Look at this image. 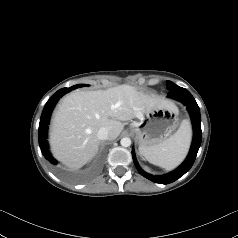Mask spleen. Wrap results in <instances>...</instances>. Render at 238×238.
<instances>
[{"instance_id": "3e777b00", "label": "spleen", "mask_w": 238, "mask_h": 238, "mask_svg": "<svg viewBox=\"0 0 238 238\" xmlns=\"http://www.w3.org/2000/svg\"><path fill=\"white\" fill-rule=\"evenodd\" d=\"M191 125L183 120L179 129L162 143L141 150V154L152 164L171 170L186 157L191 142Z\"/></svg>"}]
</instances>
